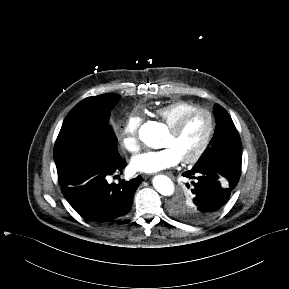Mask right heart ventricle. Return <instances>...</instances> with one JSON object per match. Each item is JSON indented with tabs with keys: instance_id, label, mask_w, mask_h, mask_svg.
<instances>
[{
	"instance_id": "1",
	"label": "right heart ventricle",
	"mask_w": 289,
	"mask_h": 289,
	"mask_svg": "<svg viewBox=\"0 0 289 289\" xmlns=\"http://www.w3.org/2000/svg\"><path fill=\"white\" fill-rule=\"evenodd\" d=\"M196 108L198 107L191 102L179 100L157 108L154 111V115L161 119L168 127H170L183 114Z\"/></svg>"
}]
</instances>
